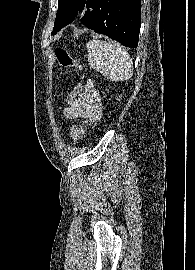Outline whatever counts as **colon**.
I'll list each match as a JSON object with an SVG mask.
<instances>
[{
  "label": "colon",
  "instance_id": "1",
  "mask_svg": "<svg viewBox=\"0 0 195 270\" xmlns=\"http://www.w3.org/2000/svg\"><path fill=\"white\" fill-rule=\"evenodd\" d=\"M55 58L58 64L65 68L69 69L75 67L79 70H83L82 64L76 60L65 48L58 47L54 50ZM81 93V86L76 84L69 95V99L77 100ZM71 131L73 133L75 140H82L86 136V130L84 126L80 123H73L71 126Z\"/></svg>",
  "mask_w": 195,
  "mask_h": 270
}]
</instances>
